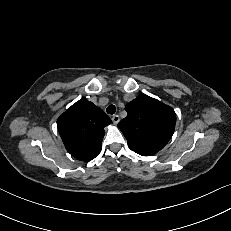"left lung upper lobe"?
I'll list each match as a JSON object with an SVG mask.
<instances>
[{"instance_id": "5c2ea615", "label": "left lung upper lobe", "mask_w": 231, "mask_h": 231, "mask_svg": "<svg viewBox=\"0 0 231 231\" xmlns=\"http://www.w3.org/2000/svg\"><path fill=\"white\" fill-rule=\"evenodd\" d=\"M127 117L118 123L129 148L142 156L160 151L173 135L176 115L168 105L140 94L125 107Z\"/></svg>"}]
</instances>
